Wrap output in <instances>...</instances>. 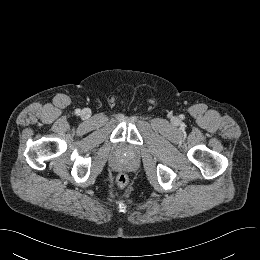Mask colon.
<instances>
[{
    "label": "colon",
    "mask_w": 260,
    "mask_h": 260,
    "mask_svg": "<svg viewBox=\"0 0 260 260\" xmlns=\"http://www.w3.org/2000/svg\"><path fill=\"white\" fill-rule=\"evenodd\" d=\"M116 181L119 187H125L128 183V177L126 174L121 173L117 176Z\"/></svg>",
    "instance_id": "5ec220e1"
}]
</instances>
